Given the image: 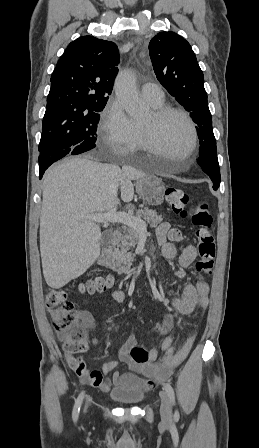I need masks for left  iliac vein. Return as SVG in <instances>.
Segmentation results:
<instances>
[{"mask_svg":"<svg viewBox=\"0 0 259 448\" xmlns=\"http://www.w3.org/2000/svg\"><path fill=\"white\" fill-rule=\"evenodd\" d=\"M160 397H161V407H160L161 419L167 423L171 419V412H172L170 401L168 395L164 391L160 393Z\"/></svg>","mask_w":259,"mask_h":448,"instance_id":"left-iliac-vein-1","label":"left iliac vein"}]
</instances>
